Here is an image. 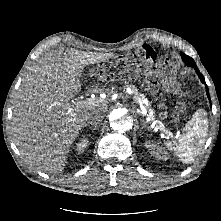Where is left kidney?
I'll list each match as a JSON object with an SVG mask.
<instances>
[{
	"mask_svg": "<svg viewBox=\"0 0 221 221\" xmlns=\"http://www.w3.org/2000/svg\"><path fill=\"white\" fill-rule=\"evenodd\" d=\"M145 146L149 149L150 154L157 159L166 160L168 158L167 152L164 150V148L157 145L156 143L152 141H146Z\"/></svg>",
	"mask_w": 221,
	"mask_h": 221,
	"instance_id": "1",
	"label": "left kidney"
}]
</instances>
